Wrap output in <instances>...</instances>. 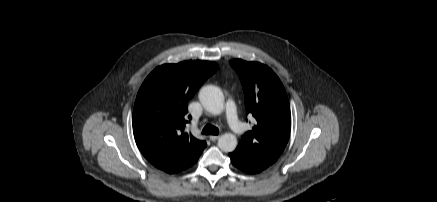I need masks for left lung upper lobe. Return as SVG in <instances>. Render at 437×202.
Listing matches in <instances>:
<instances>
[{"instance_id":"5c2ea615","label":"left lung upper lobe","mask_w":437,"mask_h":202,"mask_svg":"<svg viewBox=\"0 0 437 202\" xmlns=\"http://www.w3.org/2000/svg\"><path fill=\"white\" fill-rule=\"evenodd\" d=\"M240 77L247 114L256 119L236 150L269 167L282 154L290 135L291 114L286 91L266 65L241 59L230 61Z\"/></svg>"}]
</instances>
